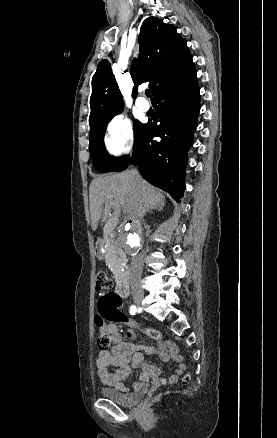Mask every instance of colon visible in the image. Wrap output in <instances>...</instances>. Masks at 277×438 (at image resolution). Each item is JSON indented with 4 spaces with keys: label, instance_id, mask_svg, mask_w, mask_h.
Masks as SVG:
<instances>
[{
    "label": "colon",
    "instance_id": "1",
    "mask_svg": "<svg viewBox=\"0 0 277 438\" xmlns=\"http://www.w3.org/2000/svg\"><path fill=\"white\" fill-rule=\"evenodd\" d=\"M113 283L112 278L104 271H98L95 275V289L96 292H101L108 289V284ZM116 284V283H115ZM119 299V298H117ZM95 323L97 328H102L105 326V320H100L98 318V315L95 318ZM147 335L152 337L153 339L159 340L161 339L162 335L161 332L155 328H145L144 329ZM114 337L109 332H100L96 338V346L100 350H104L113 343ZM190 381V375L186 374L182 377L183 383H188ZM154 395L156 397H159L161 395V392L159 390H156L154 392Z\"/></svg>",
    "mask_w": 277,
    "mask_h": 438
}]
</instances>
